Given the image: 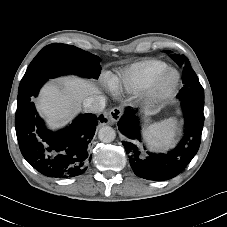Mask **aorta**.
I'll return each instance as SVG.
<instances>
[{
    "label": "aorta",
    "instance_id": "obj_1",
    "mask_svg": "<svg viewBox=\"0 0 227 227\" xmlns=\"http://www.w3.org/2000/svg\"><path fill=\"white\" fill-rule=\"evenodd\" d=\"M98 138L104 143H110L116 138V132L110 126H103L98 132Z\"/></svg>",
    "mask_w": 227,
    "mask_h": 227
}]
</instances>
